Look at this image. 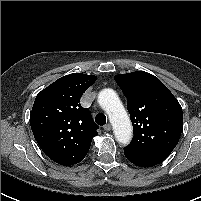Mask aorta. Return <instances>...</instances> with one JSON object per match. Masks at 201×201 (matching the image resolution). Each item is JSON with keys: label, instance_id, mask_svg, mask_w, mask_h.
Masks as SVG:
<instances>
[{"label": "aorta", "instance_id": "762f6f07", "mask_svg": "<svg viewBox=\"0 0 201 201\" xmlns=\"http://www.w3.org/2000/svg\"><path fill=\"white\" fill-rule=\"evenodd\" d=\"M99 104L106 110L118 142L128 144L132 137V125L128 114L113 89H103L98 94Z\"/></svg>", "mask_w": 201, "mask_h": 201}]
</instances>
